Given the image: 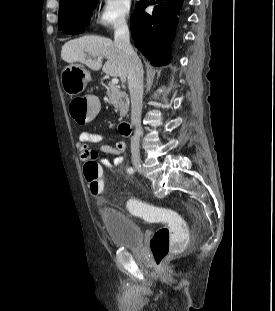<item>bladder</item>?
<instances>
[{
	"label": "bladder",
	"instance_id": "31cf9c89",
	"mask_svg": "<svg viewBox=\"0 0 275 311\" xmlns=\"http://www.w3.org/2000/svg\"><path fill=\"white\" fill-rule=\"evenodd\" d=\"M99 216L113 247L139 249L142 246L143 230L127 213L102 208Z\"/></svg>",
	"mask_w": 275,
	"mask_h": 311
}]
</instances>
